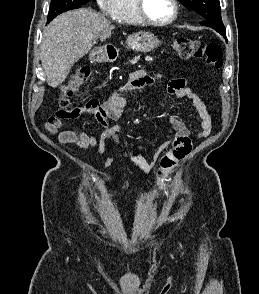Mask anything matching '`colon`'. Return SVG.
Here are the masks:
<instances>
[{"label": "colon", "mask_w": 259, "mask_h": 294, "mask_svg": "<svg viewBox=\"0 0 259 294\" xmlns=\"http://www.w3.org/2000/svg\"><path fill=\"white\" fill-rule=\"evenodd\" d=\"M171 47L175 53L184 59H202L218 69L222 66V49L216 43L206 44L203 41L180 37L171 41ZM92 75L91 69L87 66L80 67L70 78V80L62 87L61 94L58 99V105L61 112L67 113L71 108L70 96L84 83H86Z\"/></svg>", "instance_id": "1"}]
</instances>
